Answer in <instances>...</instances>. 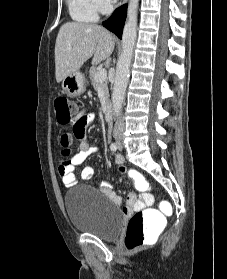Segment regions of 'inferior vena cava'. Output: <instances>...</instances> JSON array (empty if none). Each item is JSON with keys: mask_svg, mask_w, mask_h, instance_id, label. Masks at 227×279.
<instances>
[{"mask_svg": "<svg viewBox=\"0 0 227 279\" xmlns=\"http://www.w3.org/2000/svg\"><path fill=\"white\" fill-rule=\"evenodd\" d=\"M124 128H125L124 121L120 117V118L117 119V121L115 123V126H114V130H113L114 136L121 135L123 133V131H124Z\"/></svg>", "mask_w": 227, "mask_h": 279, "instance_id": "inferior-vena-cava-1", "label": "inferior vena cava"}]
</instances>
